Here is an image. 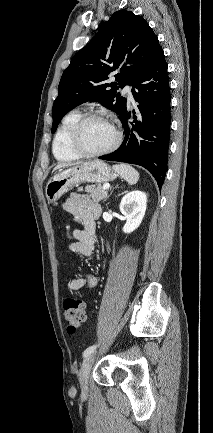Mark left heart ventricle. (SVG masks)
Wrapping results in <instances>:
<instances>
[{"label":"left heart ventricle","instance_id":"obj_1","mask_svg":"<svg viewBox=\"0 0 213 433\" xmlns=\"http://www.w3.org/2000/svg\"><path fill=\"white\" fill-rule=\"evenodd\" d=\"M115 140V132L113 128L103 120H90L88 121L80 136V142L83 148L90 152L102 151Z\"/></svg>","mask_w":213,"mask_h":433}]
</instances>
